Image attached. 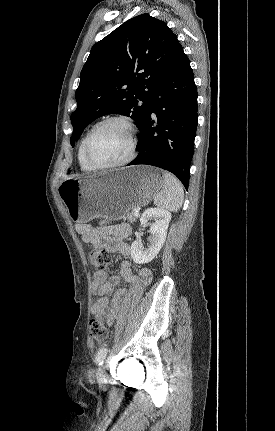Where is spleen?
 Masks as SVG:
<instances>
[{
  "mask_svg": "<svg viewBox=\"0 0 275 431\" xmlns=\"http://www.w3.org/2000/svg\"><path fill=\"white\" fill-rule=\"evenodd\" d=\"M184 191L179 180L171 173L163 174V188L156 194L154 204L162 209L176 212L183 203Z\"/></svg>",
  "mask_w": 275,
  "mask_h": 431,
  "instance_id": "3e777b00",
  "label": "spleen"
}]
</instances>
